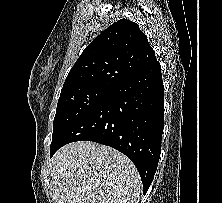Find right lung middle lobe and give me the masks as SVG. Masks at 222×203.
I'll use <instances>...</instances> for the list:
<instances>
[{"label": "right lung middle lobe", "mask_w": 222, "mask_h": 203, "mask_svg": "<svg viewBox=\"0 0 222 203\" xmlns=\"http://www.w3.org/2000/svg\"><path fill=\"white\" fill-rule=\"evenodd\" d=\"M112 90L98 86L62 89L54 118L51 145L73 123L104 101Z\"/></svg>", "instance_id": "obj_1"}]
</instances>
